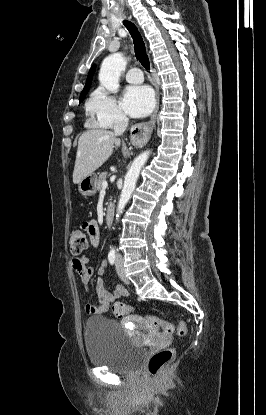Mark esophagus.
<instances>
[{"mask_svg": "<svg viewBox=\"0 0 266 415\" xmlns=\"http://www.w3.org/2000/svg\"><path fill=\"white\" fill-rule=\"evenodd\" d=\"M154 86L156 90V106L154 109L151 118L146 123H139L134 125L131 129V142L134 145H143L145 144L151 137L152 131L155 127L156 116L159 108V87L156 81H154Z\"/></svg>", "mask_w": 266, "mask_h": 415, "instance_id": "obj_1", "label": "esophagus"}]
</instances>
